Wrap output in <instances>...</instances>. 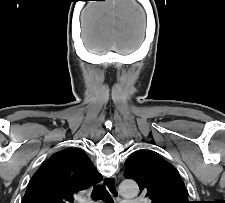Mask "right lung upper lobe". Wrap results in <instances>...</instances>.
Returning a JSON list of instances; mask_svg holds the SVG:
<instances>
[{
  "instance_id": "obj_1",
  "label": "right lung upper lobe",
  "mask_w": 225,
  "mask_h": 203,
  "mask_svg": "<svg viewBox=\"0 0 225 203\" xmlns=\"http://www.w3.org/2000/svg\"><path fill=\"white\" fill-rule=\"evenodd\" d=\"M102 180L86 153L69 148L54 153L34 174L22 203H73V196Z\"/></svg>"
}]
</instances>
